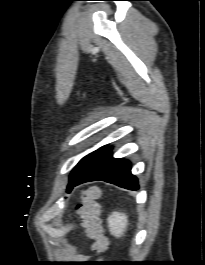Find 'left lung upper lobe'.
<instances>
[{
  "mask_svg": "<svg viewBox=\"0 0 205 265\" xmlns=\"http://www.w3.org/2000/svg\"><path fill=\"white\" fill-rule=\"evenodd\" d=\"M107 145L99 148L98 150L90 153L89 155L85 156L82 158L79 163L76 165V167L73 169L71 175H70V180H69V185L67 187V192H70L71 189V184L72 182L84 171V169L91 163L93 162L105 149Z\"/></svg>",
  "mask_w": 205,
  "mask_h": 265,
  "instance_id": "obj_1",
  "label": "left lung upper lobe"
}]
</instances>
